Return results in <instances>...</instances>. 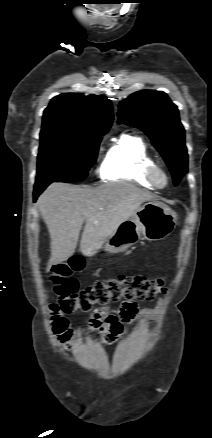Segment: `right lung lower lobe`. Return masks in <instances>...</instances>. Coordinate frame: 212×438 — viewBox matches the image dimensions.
<instances>
[{
    "instance_id": "1",
    "label": "right lung lower lobe",
    "mask_w": 212,
    "mask_h": 438,
    "mask_svg": "<svg viewBox=\"0 0 212 438\" xmlns=\"http://www.w3.org/2000/svg\"><path fill=\"white\" fill-rule=\"evenodd\" d=\"M49 185V183L45 184H35L34 187V202L37 200V197L43 192V190Z\"/></svg>"
}]
</instances>
